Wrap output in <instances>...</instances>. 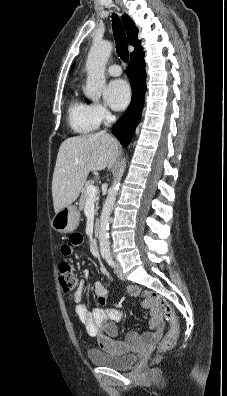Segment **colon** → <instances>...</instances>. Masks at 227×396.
Returning <instances> with one entry per match:
<instances>
[{"label": "colon", "mask_w": 227, "mask_h": 396, "mask_svg": "<svg viewBox=\"0 0 227 396\" xmlns=\"http://www.w3.org/2000/svg\"><path fill=\"white\" fill-rule=\"evenodd\" d=\"M59 283L62 291L74 299L77 279L74 268L69 262L64 261L59 264ZM148 298L163 312L165 319L170 325L168 332L162 338L159 345L161 351H168L173 347L179 336L180 325L178 317L173 307L164 297L150 292Z\"/></svg>", "instance_id": "colon-1"}]
</instances>
